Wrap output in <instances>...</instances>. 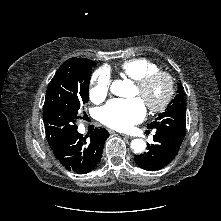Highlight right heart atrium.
I'll return each mask as SVG.
<instances>
[{
  "label": "right heart atrium",
  "mask_w": 221,
  "mask_h": 221,
  "mask_svg": "<svg viewBox=\"0 0 221 221\" xmlns=\"http://www.w3.org/2000/svg\"><path fill=\"white\" fill-rule=\"evenodd\" d=\"M110 90V75L104 70H97L91 80L90 98L94 102H102Z\"/></svg>",
  "instance_id": "d8ad5b80"
}]
</instances>
